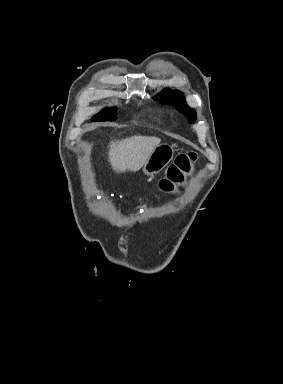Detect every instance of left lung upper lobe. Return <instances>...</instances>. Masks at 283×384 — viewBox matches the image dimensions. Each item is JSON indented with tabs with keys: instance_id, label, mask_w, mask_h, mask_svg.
<instances>
[{
	"instance_id": "obj_1",
	"label": "left lung upper lobe",
	"mask_w": 283,
	"mask_h": 384,
	"mask_svg": "<svg viewBox=\"0 0 283 384\" xmlns=\"http://www.w3.org/2000/svg\"><path fill=\"white\" fill-rule=\"evenodd\" d=\"M160 102L166 103L168 105H175L177 110L184 113L186 116L189 117V121L191 123H194L196 119V112L191 109L185 102V99L183 97V93L177 90H169L164 89L160 93Z\"/></svg>"
}]
</instances>
